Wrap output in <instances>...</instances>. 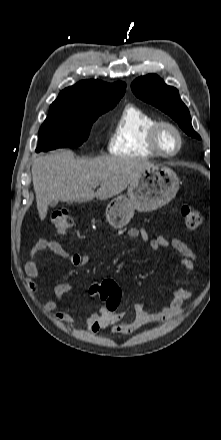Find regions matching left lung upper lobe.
Segmentation results:
<instances>
[{"mask_svg":"<svg viewBox=\"0 0 221 440\" xmlns=\"http://www.w3.org/2000/svg\"><path fill=\"white\" fill-rule=\"evenodd\" d=\"M134 94L172 117L184 132L201 139L191 125L189 111L176 88L168 86L155 74L139 77L131 84Z\"/></svg>","mask_w":221,"mask_h":440,"instance_id":"obj_1","label":"left lung upper lobe"}]
</instances>
